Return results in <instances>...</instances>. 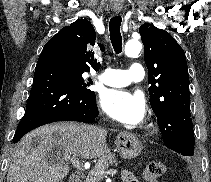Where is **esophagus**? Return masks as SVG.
I'll use <instances>...</instances> for the list:
<instances>
[{"instance_id": "1", "label": "esophagus", "mask_w": 211, "mask_h": 182, "mask_svg": "<svg viewBox=\"0 0 211 182\" xmlns=\"http://www.w3.org/2000/svg\"><path fill=\"white\" fill-rule=\"evenodd\" d=\"M121 9H113L114 14H119Z\"/></svg>"}]
</instances>
